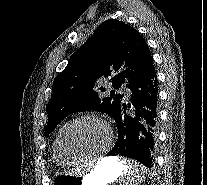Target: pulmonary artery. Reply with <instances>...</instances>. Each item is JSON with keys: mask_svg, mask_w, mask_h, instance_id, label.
I'll use <instances>...</instances> for the list:
<instances>
[{"mask_svg": "<svg viewBox=\"0 0 207 185\" xmlns=\"http://www.w3.org/2000/svg\"><path fill=\"white\" fill-rule=\"evenodd\" d=\"M121 90H124V93L128 94L127 89H125V88H121Z\"/></svg>", "mask_w": 207, "mask_h": 185, "instance_id": "pulmonary-artery-1", "label": "pulmonary artery"}]
</instances>
